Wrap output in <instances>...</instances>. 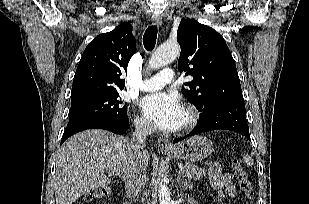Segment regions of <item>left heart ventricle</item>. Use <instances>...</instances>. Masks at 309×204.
Masks as SVG:
<instances>
[{
    "label": "left heart ventricle",
    "mask_w": 309,
    "mask_h": 204,
    "mask_svg": "<svg viewBox=\"0 0 309 204\" xmlns=\"http://www.w3.org/2000/svg\"><path fill=\"white\" fill-rule=\"evenodd\" d=\"M185 120H186V114L184 111H182L178 126L182 125L185 122Z\"/></svg>",
    "instance_id": "b2bd125f"
}]
</instances>
